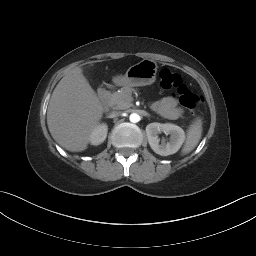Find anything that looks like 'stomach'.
<instances>
[{
  "label": "stomach",
  "instance_id": "obj_1",
  "mask_svg": "<svg viewBox=\"0 0 256 256\" xmlns=\"http://www.w3.org/2000/svg\"><path fill=\"white\" fill-rule=\"evenodd\" d=\"M157 63L144 59L128 68L124 75H116L112 81L116 86L137 87L151 85L156 80Z\"/></svg>",
  "mask_w": 256,
  "mask_h": 256
}]
</instances>
